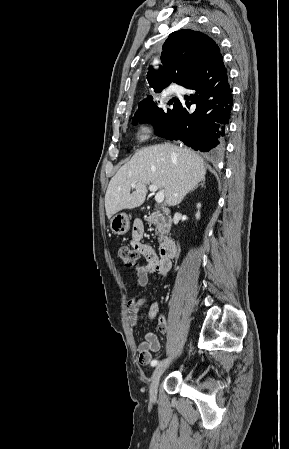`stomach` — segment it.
<instances>
[{
	"instance_id": "0dacf381",
	"label": "stomach",
	"mask_w": 289,
	"mask_h": 449,
	"mask_svg": "<svg viewBox=\"0 0 289 449\" xmlns=\"http://www.w3.org/2000/svg\"><path fill=\"white\" fill-rule=\"evenodd\" d=\"M110 228L117 235H124L130 229L129 217L125 213H117L110 220Z\"/></svg>"
}]
</instances>
